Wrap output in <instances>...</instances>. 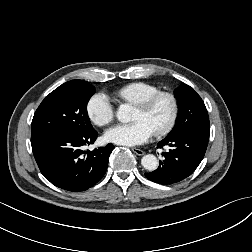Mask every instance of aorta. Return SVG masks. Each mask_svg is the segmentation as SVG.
Segmentation results:
<instances>
[{"label": "aorta", "instance_id": "1", "mask_svg": "<svg viewBox=\"0 0 252 252\" xmlns=\"http://www.w3.org/2000/svg\"><path fill=\"white\" fill-rule=\"evenodd\" d=\"M134 109L130 104H122L118 108L116 116L119 121L127 123L133 119ZM142 166L149 171H154L158 167V160L155 155L147 154L141 159Z\"/></svg>", "mask_w": 252, "mask_h": 252}]
</instances>
